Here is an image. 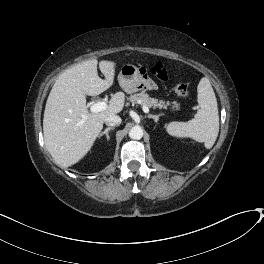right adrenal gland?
I'll use <instances>...</instances> for the list:
<instances>
[{
    "mask_svg": "<svg viewBox=\"0 0 264 264\" xmlns=\"http://www.w3.org/2000/svg\"><path fill=\"white\" fill-rule=\"evenodd\" d=\"M110 130H114V127H108V128H106L103 132H101L100 134H99V138L100 137H102L103 135H105L106 136V138H107V140H109V131Z\"/></svg>",
    "mask_w": 264,
    "mask_h": 264,
    "instance_id": "right-adrenal-gland-1",
    "label": "right adrenal gland"
}]
</instances>
